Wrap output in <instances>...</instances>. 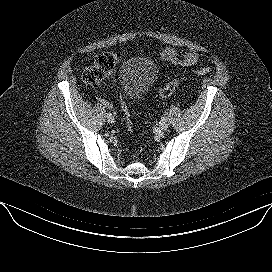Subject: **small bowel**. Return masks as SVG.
<instances>
[{"label": "small bowel", "instance_id": "small-bowel-1", "mask_svg": "<svg viewBox=\"0 0 272 272\" xmlns=\"http://www.w3.org/2000/svg\"><path fill=\"white\" fill-rule=\"evenodd\" d=\"M164 59L182 67H191L199 62V55L195 51L179 53L171 48L164 47L161 49Z\"/></svg>", "mask_w": 272, "mask_h": 272}]
</instances>
